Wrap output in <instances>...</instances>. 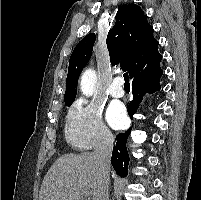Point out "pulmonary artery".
<instances>
[{
  "label": "pulmonary artery",
  "mask_w": 201,
  "mask_h": 200,
  "mask_svg": "<svg viewBox=\"0 0 201 200\" xmlns=\"http://www.w3.org/2000/svg\"><path fill=\"white\" fill-rule=\"evenodd\" d=\"M122 78L120 76H116L113 79L112 85L109 88V93L112 97L120 98L124 95V89L122 87Z\"/></svg>",
  "instance_id": "obj_1"
}]
</instances>
